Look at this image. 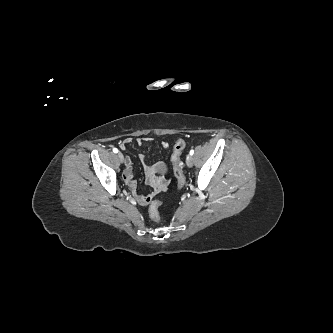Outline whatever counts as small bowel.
I'll use <instances>...</instances> for the list:
<instances>
[{"label":"small bowel","mask_w":333,"mask_h":333,"mask_svg":"<svg viewBox=\"0 0 333 333\" xmlns=\"http://www.w3.org/2000/svg\"><path fill=\"white\" fill-rule=\"evenodd\" d=\"M147 139L146 138H136L135 142L138 145H142ZM134 141L132 137H127L120 147L122 149L125 148L127 144H130ZM161 145L163 148H169V143L167 141H162ZM141 161H145V157L143 155L139 156ZM166 170V164L163 161H158L153 164H147L145 166V175L146 181L148 185L151 187V192L147 195H138L137 191V184L133 179V163L132 160L127 157L125 159V170L123 173V179L125 183L128 185L130 190L134 193L136 201L141 206H146L150 202V200L160 192H163L167 189L168 186V178L165 175L158 176L157 174L162 173Z\"/></svg>","instance_id":"obj_1"}]
</instances>
